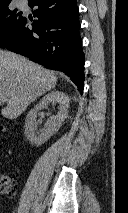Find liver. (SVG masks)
<instances>
[{
    "label": "liver",
    "instance_id": "liver-1",
    "mask_svg": "<svg viewBox=\"0 0 128 213\" xmlns=\"http://www.w3.org/2000/svg\"><path fill=\"white\" fill-rule=\"evenodd\" d=\"M57 77L25 57L0 50V98L7 105L1 111L16 119L37 97L53 89Z\"/></svg>",
    "mask_w": 128,
    "mask_h": 213
}]
</instances>
